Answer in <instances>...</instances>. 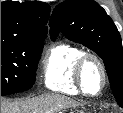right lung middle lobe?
Here are the masks:
<instances>
[{"instance_id":"dd1d6c3e","label":"right lung middle lobe","mask_w":123,"mask_h":113,"mask_svg":"<svg viewBox=\"0 0 123 113\" xmlns=\"http://www.w3.org/2000/svg\"><path fill=\"white\" fill-rule=\"evenodd\" d=\"M44 38L1 42V96L30 89Z\"/></svg>"}]
</instances>
